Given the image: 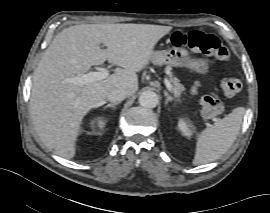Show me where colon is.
<instances>
[{
  "label": "colon",
  "mask_w": 270,
  "mask_h": 213,
  "mask_svg": "<svg viewBox=\"0 0 270 213\" xmlns=\"http://www.w3.org/2000/svg\"><path fill=\"white\" fill-rule=\"evenodd\" d=\"M176 46H187L193 53H201L218 61H227L229 50L227 46L215 35L205 34L199 31H191L187 34L177 32L172 38ZM221 87L228 97L236 96L240 89V81L235 77L222 79ZM202 114L205 117H214L222 112L224 103L212 95H206L201 100Z\"/></svg>",
  "instance_id": "obj_1"
}]
</instances>
